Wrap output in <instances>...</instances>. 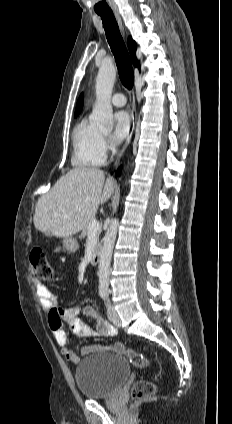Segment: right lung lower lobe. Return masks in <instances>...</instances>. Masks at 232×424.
I'll use <instances>...</instances> for the list:
<instances>
[{
    "label": "right lung lower lobe",
    "instance_id": "obj_1",
    "mask_svg": "<svg viewBox=\"0 0 232 424\" xmlns=\"http://www.w3.org/2000/svg\"><path fill=\"white\" fill-rule=\"evenodd\" d=\"M117 174H118V175L120 174V169H118Z\"/></svg>",
    "mask_w": 232,
    "mask_h": 424
}]
</instances>
